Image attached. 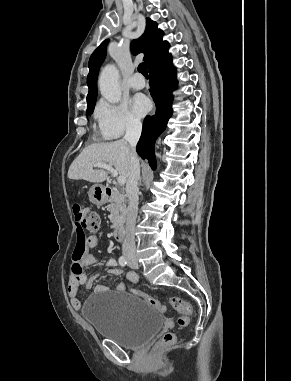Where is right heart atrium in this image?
Returning <instances> with one entry per match:
<instances>
[{"mask_svg": "<svg viewBox=\"0 0 291 381\" xmlns=\"http://www.w3.org/2000/svg\"><path fill=\"white\" fill-rule=\"evenodd\" d=\"M101 135L107 139L121 137L141 128L140 119L130 110L126 102L113 103L100 100L95 109Z\"/></svg>", "mask_w": 291, "mask_h": 381, "instance_id": "right-heart-atrium-1", "label": "right heart atrium"}]
</instances>
